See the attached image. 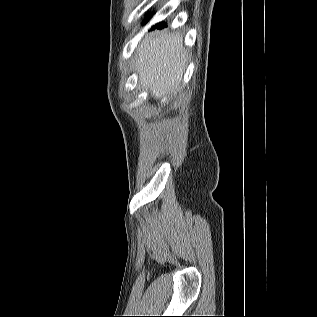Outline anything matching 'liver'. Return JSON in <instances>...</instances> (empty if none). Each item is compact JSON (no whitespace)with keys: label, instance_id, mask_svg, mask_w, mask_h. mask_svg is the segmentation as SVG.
Instances as JSON below:
<instances>
[{"label":"liver","instance_id":"6515ba94","mask_svg":"<svg viewBox=\"0 0 317 317\" xmlns=\"http://www.w3.org/2000/svg\"><path fill=\"white\" fill-rule=\"evenodd\" d=\"M185 67L186 51L179 34L150 35L138 47L139 83L156 99L179 91Z\"/></svg>","mask_w":317,"mask_h":317}]
</instances>
